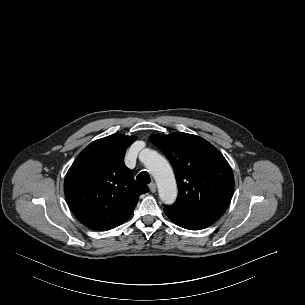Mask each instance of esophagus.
<instances>
[{"label": "esophagus", "instance_id": "1", "mask_svg": "<svg viewBox=\"0 0 305 305\" xmlns=\"http://www.w3.org/2000/svg\"><path fill=\"white\" fill-rule=\"evenodd\" d=\"M149 189L152 193L156 192V184L154 182L150 183Z\"/></svg>", "mask_w": 305, "mask_h": 305}]
</instances>
